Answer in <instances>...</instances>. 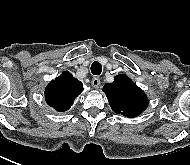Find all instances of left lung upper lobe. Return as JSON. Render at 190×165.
Segmentation results:
<instances>
[{"instance_id": "1", "label": "left lung upper lobe", "mask_w": 190, "mask_h": 165, "mask_svg": "<svg viewBox=\"0 0 190 165\" xmlns=\"http://www.w3.org/2000/svg\"><path fill=\"white\" fill-rule=\"evenodd\" d=\"M103 92L107 96L111 109L126 117H136L148 106L144 91L124 74L115 76L112 83H106Z\"/></svg>"}]
</instances>
